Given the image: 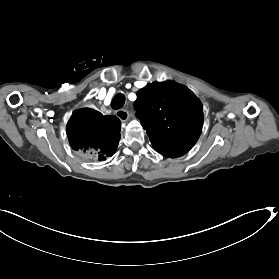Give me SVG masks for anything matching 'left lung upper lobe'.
Masks as SVG:
<instances>
[{
	"label": "left lung upper lobe",
	"mask_w": 279,
	"mask_h": 279,
	"mask_svg": "<svg viewBox=\"0 0 279 279\" xmlns=\"http://www.w3.org/2000/svg\"><path fill=\"white\" fill-rule=\"evenodd\" d=\"M134 108L153 147L163 156L186 154L201 134V104L181 85L148 84L137 92Z\"/></svg>",
	"instance_id": "1"
}]
</instances>
